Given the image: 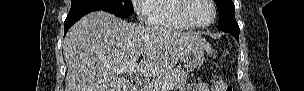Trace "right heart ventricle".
<instances>
[{
    "label": "right heart ventricle",
    "instance_id": "1",
    "mask_svg": "<svg viewBox=\"0 0 304 91\" xmlns=\"http://www.w3.org/2000/svg\"><path fill=\"white\" fill-rule=\"evenodd\" d=\"M180 0H154L148 9L151 25L175 30H188L191 27L181 19L178 13Z\"/></svg>",
    "mask_w": 304,
    "mask_h": 91
}]
</instances>
